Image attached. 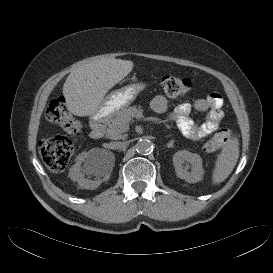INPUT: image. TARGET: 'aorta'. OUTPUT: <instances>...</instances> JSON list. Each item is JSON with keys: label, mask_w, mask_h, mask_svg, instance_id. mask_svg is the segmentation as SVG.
Returning a JSON list of instances; mask_svg holds the SVG:
<instances>
[{"label": "aorta", "mask_w": 273, "mask_h": 273, "mask_svg": "<svg viewBox=\"0 0 273 273\" xmlns=\"http://www.w3.org/2000/svg\"><path fill=\"white\" fill-rule=\"evenodd\" d=\"M154 149V144L149 139H142L136 144V151L141 155H148Z\"/></svg>", "instance_id": "1"}]
</instances>
